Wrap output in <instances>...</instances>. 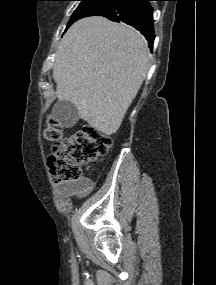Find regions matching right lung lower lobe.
Listing matches in <instances>:
<instances>
[{
  "label": "right lung lower lobe",
  "instance_id": "obj_1",
  "mask_svg": "<svg viewBox=\"0 0 216 285\" xmlns=\"http://www.w3.org/2000/svg\"><path fill=\"white\" fill-rule=\"evenodd\" d=\"M152 0H118L112 6L102 10L95 16H104L114 22H124L139 30L148 40L150 49L153 48V8Z\"/></svg>",
  "mask_w": 216,
  "mask_h": 285
}]
</instances>
